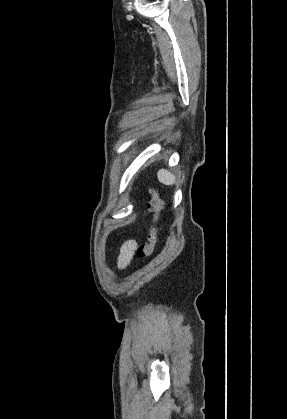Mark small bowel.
Wrapping results in <instances>:
<instances>
[{
    "label": "small bowel",
    "mask_w": 287,
    "mask_h": 419,
    "mask_svg": "<svg viewBox=\"0 0 287 419\" xmlns=\"http://www.w3.org/2000/svg\"><path fill=\"white\" fill-rule=\"evenodd\" d=\"M135 248H136V242L133 240L127 241L126 243L123 244V246L120 249L119 256H118V266L120 268H124L130 263L133 257Z\"/></svg>",
    "instance_id": "c3829d8e"
}]
</instances>
